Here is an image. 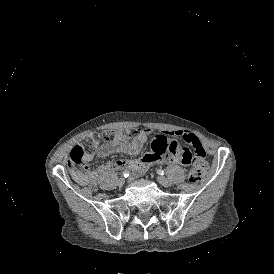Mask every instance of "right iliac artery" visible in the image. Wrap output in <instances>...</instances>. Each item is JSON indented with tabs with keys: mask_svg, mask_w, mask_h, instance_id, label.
<instances>
[{
	"mask_svg": "<svg viewBox=\"0 0 274 274\" xmlns=\"http://www.w3.org/2000/svg\"><path fill=\"white\" fill-rule=\"evenodd\" d=\"M129 174H130V172H129L128 170H125V171L123 172V176H124L125 178L128 177Z\"/></svg>",
	"mask_w": 274,
	"mask_h": 274,
	"instance_id": "right-iliac-artery-1",
	"label": "right iliac artery"
}]
</instances>
